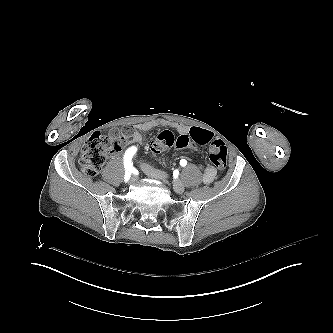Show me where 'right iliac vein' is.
I'll return each instance as SVG.
<instances>
[{
    "label": "right iliac vein",
    "mask_w": 333,
    "mask_h": 333,
    "mask_svg": "<svg viewBox=\"0 0 333 333\" xmlns=\"http://www.w3.org/2000/svg\"><path fill=\"white\" fill-rule=\"evenodd\" d=\"M134 181H135V178L132 177L131 180H130L128 183L130 184V183H132V182H134Z\"/></svg>",
    "instance_id": "right-iliac-vein-1"
}]
</instances>
